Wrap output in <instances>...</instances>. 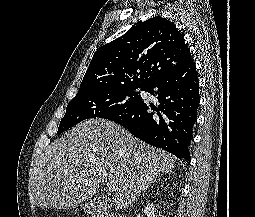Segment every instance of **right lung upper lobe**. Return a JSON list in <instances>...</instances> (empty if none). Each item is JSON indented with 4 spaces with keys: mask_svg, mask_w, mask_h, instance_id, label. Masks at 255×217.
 Instances as JSON below:
<instances>
[{
    "mask_svg": "<svg viewBox=\"0 0 255 217\" xmlns=\"http://www.w3.org/2000/svg\"><path fill=\"white\" fill-rule=\"evenodd\" d=\"M175 24L162 17L141 22L94 54L78 92L147 87L191 59Z\"/></svg>",
    "mask_w": 255,
    "mask_h": 217,
    "instance_id": "right-lung-upper-lobe-1",
    "label": "right lung upper lobe"
}]
</instances>
